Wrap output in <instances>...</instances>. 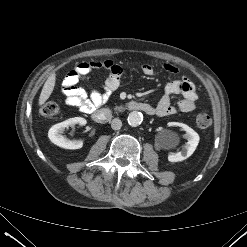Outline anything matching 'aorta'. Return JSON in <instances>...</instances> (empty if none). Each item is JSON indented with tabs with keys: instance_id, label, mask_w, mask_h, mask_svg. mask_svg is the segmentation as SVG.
<instances>
[{
	"instance_id": "aorta-1",
	"label": "aorta",
	"mask_w": 247,
	"mask_h": 247,
	"mask_svg": "<svg viewBox=\"0 0 247 247\" xmlns=\"http://www.w3.org/2000/svg\"><path fill=\"white\" fill-rule=\"evenodd\" d=\"M128 124L132 127H137L143 122V114L138 111H132L128 115Z\"/></svg>"
}]
</instances>
